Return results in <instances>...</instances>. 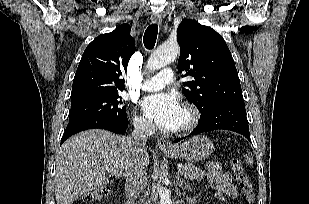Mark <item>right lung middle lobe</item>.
Returning <instances> with one entry per match:
<instances>
[{
    "mask_svg": "<svg viewBox=\"0 0 309 204\" xmlns=\"http://www.w3.org/2000/svg\"><path fill=\"white\" fill-rule=\"evenodd\" d=\"M122 104L119 92L72 103L69 122L85 117H100L120 124H127L126 106Z\"/></svg>",
    "mask_w": 309,
    "mask_h": 204,
    "instance_id": "right-lung-middle-lobe-1",
    "label": "right lung middle lobe"
}]
</instances>
